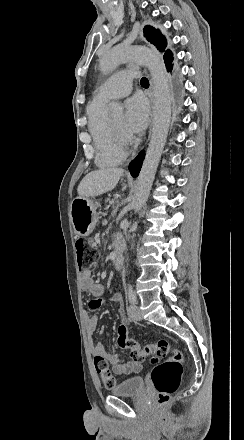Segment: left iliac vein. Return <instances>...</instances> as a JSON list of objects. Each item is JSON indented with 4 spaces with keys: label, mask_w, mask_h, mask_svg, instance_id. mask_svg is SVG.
I'll return each mask as SVG.
<instances>
[{
    "label": "left iliac vein",
    "mask_w": 244,
    "mask_h": 440,
    "mask_svg": "<svg viewBox=\"0 0 244 440\" xmlns=\"http://www.w3.org/2000/svg\"><path fill=\"white\" fill-rule=\"evenodd\" d=\"M129 315L136 321L142 320V313L137 305L131 304L129 307Z\"/></svg>",
    "instance_id": "1"
}]
</instances>
